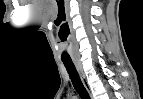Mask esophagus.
I'll return each instance as SVG.
<instances>
[{
	"instance_id": "34e87169",
	"label": "esophagus",
	"mask_w": 143,
	"mask_h": 99,
	"mask_svg": "<svg viewBox=\"0 0 143 99\" xmlns=\"http://www.w3.org/2000/svg\"><path fill=\"white\" fill-rule=\"evenodd\" d=\"M75 66H76V68H77V71H78V73H79V76H80V79H81L83 85L85 86V88L87 89L89 95L91 96L90 88H89V86H88V83H87V81H86L85 75H84V73H83L81 67L79 66L78 63H75Z\"/></svg>"
}]
</instances>
